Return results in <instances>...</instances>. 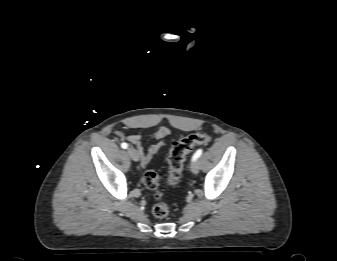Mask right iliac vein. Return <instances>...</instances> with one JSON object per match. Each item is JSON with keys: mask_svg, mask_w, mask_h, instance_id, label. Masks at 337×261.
Segmentation results:
<instances>
[{"mask_svg": "<svg viewBox=\"0 0 337 261\" xmlns=\"http://www.w3.org/2000/svg\"><path fill=\"white\" fill-rule=\"evenodd\" d=\"M127 153L130 156V158L134 161H139V154L134 148H128Z\"/></svg>", "mask_w": 337, "mask_h": 261, "instance_id": "right-iliac-vein-1", "label": "right iliac vein"}]
</instances>
